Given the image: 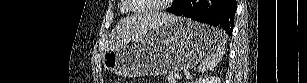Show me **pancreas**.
<instances>
[{"mask_svg": "<svg viewBox=\"0 0 307 83\" xmlns=\"http://www.w3.org/2000/svg\"><path fill=\"white\" fill-rule=\"evenodd\" d=\"M167 83H176V78H175V74H169L167 79H166Z\"/></svg>", "mask_w": 307, "mask_h": 83, "instance_id": "pancreas-1", "label": "pancreas"}]
</instances>
